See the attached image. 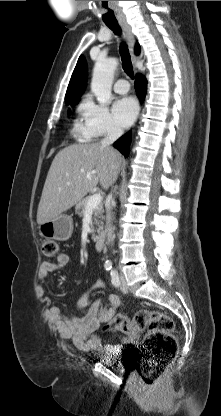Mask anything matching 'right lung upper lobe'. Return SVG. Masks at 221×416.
Returning a JSON list of instances; mask_svg holds the SVG:
<instances>
[{"instance_id":"right-lung-upper-lobe-1","label":"right lung upper lobe","mask_w":221,"mask_h":416,"mask_svg":"<svg viewBox=\"0 0 221 416\" xmlns=\"http://www.w3.org/2000/svg\"><path fill=\"white\" fill-rule=\"evenodd\" d=\"M135 51L138 54L140 51V46L137 43L135 47ZM87 80V67L86 62L83 56H80L77 62V65L73 71L71 76L67 92L65 95V102L71 103L74 101H79L80 96L82 95Z\"/></svg>"}]
</instances>
